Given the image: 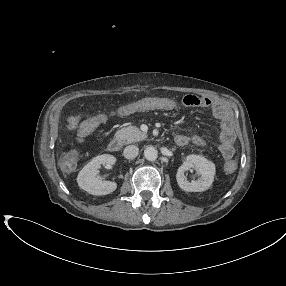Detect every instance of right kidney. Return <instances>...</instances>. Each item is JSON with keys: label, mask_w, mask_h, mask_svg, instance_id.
I'll list each match as a JSON object with an SVG mask.
<instances>
[{"label": "right kidney", "mask_w": 286, "mask_h": 286, "mask_svg": "<svg viewBox=\"0 0 286 286\" xmlns=\"http://www.w3.org/2000/svg\"><path fill=\"white\" fill-rule=\"evenodd\" d=\"M116 158L112 155L103 154L94 157L77 176L79 187L92 195H107L117 188V183L112 181H102L98 177L101 165H113Z\"/></svg>", "instance_id": "right-kidney-1"}]
</instances>
